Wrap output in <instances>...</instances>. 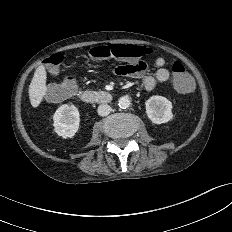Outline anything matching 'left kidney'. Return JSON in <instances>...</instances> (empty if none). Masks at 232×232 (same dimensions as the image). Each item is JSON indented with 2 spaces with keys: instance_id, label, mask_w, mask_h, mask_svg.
<instances>
[{
  "instance_id": "5707ae66",
  "label": "left kidney",
  "mask_w": 232,
  "mask_h": 232,
  "mask_svg": "<svg viewBox=\"0 0 232 232\" xmlns=\"http://www.w3.org/2000/svg\"><path fill=\"white\" fill-rule=\"evenodd\" d=\"M148 118L155 124L167 123L173 117L172 103L163 96H152L146 102Z\"/></svg>"
}]
</instances>
